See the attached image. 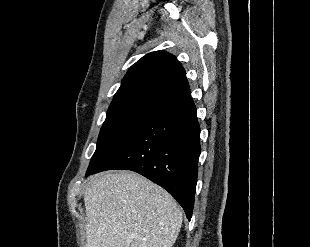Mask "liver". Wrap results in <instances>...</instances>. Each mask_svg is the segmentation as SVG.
Listing matches in <instances>:
<instances>
[{
	"instance_id": "1",
	"label": "liver",
	"mask_w": 310,
	"mask_h": 247,
	"mask_svg": "<svg viewBox=\"0 0 310 247\" xmlns=\"http://www.w3.org/2000/svg\"><path fill=\"white\" fill-rule=\"evenodd\" d=\"M84 203L85 247H172L182 225L174 198L135 172L93 176Z\"/></svg>"
}]
</instances>
